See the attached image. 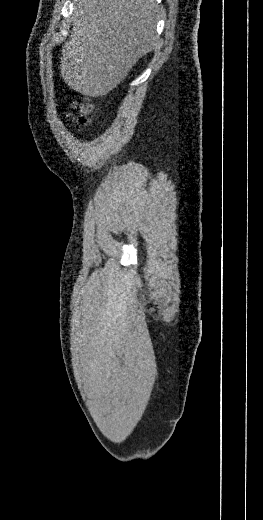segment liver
<instances>
[{
  "mask_svg": "<svg viewBox=\"0 0 263 520\" xmlns=\"http://www.w3.org/2000/svg\"><path fill=\"white\" fill-rule=\"evenodd\" d=\"M156 0H75L73 31L62 46L61 77L73 90L104 96L158 42Z\"/></svg>",
  "mask_w": 263,
  "mask_h": 520,
  "instance_id": "6515ba94",
  "label": "liver"
}]
</instances>
